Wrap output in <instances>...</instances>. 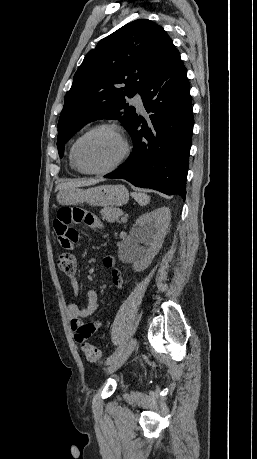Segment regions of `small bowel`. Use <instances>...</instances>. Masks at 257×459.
I'll use <instances>...</instances> for the list:
<instances>
[{
	"label": "small bowel",
	"mask_w": 257,
	"mask_h": 459,
	"mask_svg": "<svg viewBox=\"0 0 257 459\" xmlns=\"http://www.w3.org/2000/svg\"><path fill=\"white\" fill-rule=\"evenodd\" d=\"M94 217V210L90 205H60L53 219L55 234L59 236L63 251H77L80 237L76 226H85L86 229H101V220ZM62 238V239H61ZM116 260L113 256H105L103 264L111 269L113 285L118 289L124 288V280L119 269L115 268ZM69 283L75 295L79 292V283L76 276L69 278ZM99 305L98 293L89 290L86 293L84 306L72 303L67 308L70 327L74 332V339L78 343L85 342L101 326V321L85 323L84 320L92 316Z\"/></svg>",
	"instance_id": "small-bowel-1"
}]
</instances>
